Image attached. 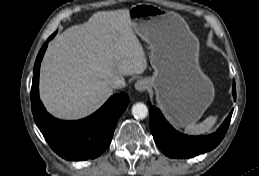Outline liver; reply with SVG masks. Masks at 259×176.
I'll list each match as a JSON object with an SVG mask.
<instances>
[{"instance_id":"obj_1","label":"liver","mask_w":259,"mask_h":176,"mask_svg":"<svg viewBox=\"0 0 259 176\" xmlns=\"http://www.w3.org/2000/svg\"><path fill=\"white\" fill-rule=\"evenodd\" d=\"M129 9L99 11L58 35L40 68V99L54 116L79 119L112 95L116 77L142 74L147 59Z\"/></svg>"}]
</instances>
